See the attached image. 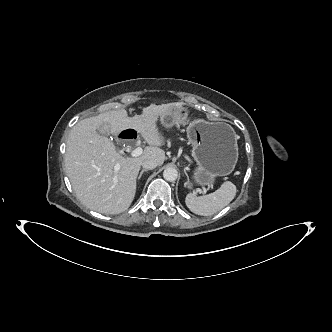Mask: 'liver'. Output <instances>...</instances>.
Instances as JSON below:
<instances>
[{"mask_svg":"<svg viewBox=\"0 0 332 332\" xmlns=\"http://www.w3.org/2000/svg\"><path fill=\"white\" fill-rule=\"evenodd\" d=\"M182 107V102L151 104L134 118L119 109L79 121L69 133L65 153L66 172L79 200L102 214L127 210L136 194L142 162L152 159L161 166L165 161L161 149L165 139L157 127L158 118ZM128 128L137 130L149 145L138 157H122L114 143L97 132L102 129L100 133L109 135ZM117 163L120 169L115 171Z\"/></svg>","mask_w":332,"mask_h":332,"instance_id":"obj_1","label":"liver"}]
</instances>
